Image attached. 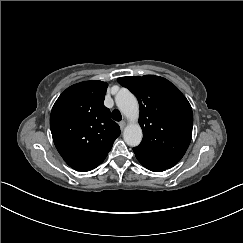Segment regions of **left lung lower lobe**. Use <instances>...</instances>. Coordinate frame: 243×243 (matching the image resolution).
Here are the masks:
<instances>
[{
	"mask_svg": "<svg viewBox=\"0 0 243 243\" xmlns=\"http://www.w3.org/2000/svg\"><path fill=\"white\" fill-rule=\"evenodd\" d=\"M139 162H140L145 168H147V169L150 170V171H154V172H161V171H164V170H162V169L156 168V167H154V166H152V165H150V164H148V163H145V162H143V161H140V160H139Z\"/></svg>",
	"mask_w": 243,
	"mask_h": 243,
	"instance_id": "0a47b994",
	"label": "left lung lower lobe"
}]
</instances>
